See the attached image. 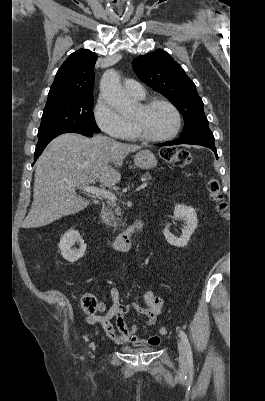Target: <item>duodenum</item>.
Returning <instances> with one entry per match:
<instances>
[{
    "label": "duodenum",
    "mask_w": 265,
    "mask_h": 401,
    "mask_svg": "<svg viewBox=\"0 0 265 401\" xmlns=\"http://www.w3.org/2000/svg\"><path fill=\"white\" fill-rule=\"evenodd\" d=\"M142 230L143 221L138 218L124 233L115 238H109L108 243L118 251H127L133 246Z\"/></svg>",
    "instance_id": "obj_1"
}]
</instances>
